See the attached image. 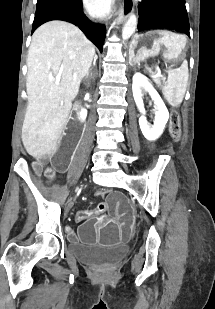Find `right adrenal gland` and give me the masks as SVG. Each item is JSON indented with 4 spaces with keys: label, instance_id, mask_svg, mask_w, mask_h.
Masks as SVG:
<instances>
[{
    "label": "right adrenal gland",
    "instance_id": "obj_1",
    "mask_svg": "<svg viewBox=\"0 0 215 309\" xmlns=\"http://www.w3.org/2000/svg\"><path fill=\"white\" fill-rule=\"evenodd\" d=\"M97 58H98L97 54H94L93 64H96ZM91 70H92V68H89L88 72H86V76H89Z\"/></svg>",
    "mask_w": 215,
    "mask_h": 309
}]
</instances>
